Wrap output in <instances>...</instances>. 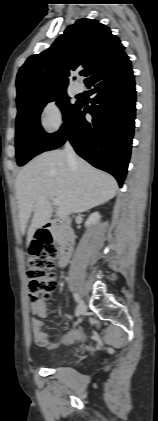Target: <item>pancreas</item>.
I'll list each match as a JSON object with an SVG mask.
<instances>
[{"label":"pancreas","instance_id":"pancreas-1","mask_svg":"<svg viewBox=\"0 0 158 421\" xmlns=\"http://www.w3.org/2000/svg\"><path fill=\"white\" fill-rule=\"evenodd\" d=\"M52 233H53V236H54L55 240H57L58 239V236H59V232L56 231V230H53Z\"/></svg>","mask_w":158,"mask_h":421}]
</instances>
